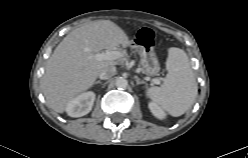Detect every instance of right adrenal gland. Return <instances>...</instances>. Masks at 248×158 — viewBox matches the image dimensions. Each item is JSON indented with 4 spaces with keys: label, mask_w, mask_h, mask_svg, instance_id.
I'll return each mask as SVG.
<instances>
[{
    "label": "right adrenal gland",
    "mask_w": 248,
    "mask_h": 158,
    "mask_svg": "<svg viewBox=\"0 0 248 158\" xmlns=\"http://www.w3.org/2000/svg\"><path fill=\"white\" fill-rule=\"evenodd\" d=\"M102 82L100 80L96 81L94 84H101Z\"/></svg>",
    "instance_id": "2a0ac1e0"
}]
</instances>
